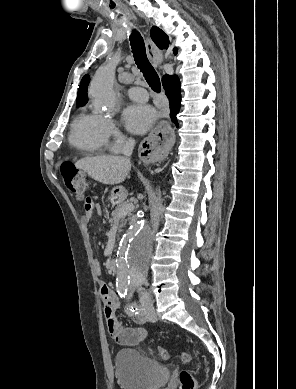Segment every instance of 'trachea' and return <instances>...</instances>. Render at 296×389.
<instances>
[{
    "mask_svg": "<svg viewBox=\"0 0 296 389\" xmlns=\"http://www.w3.org/2000/svg\"><path fill=\"white\" fill-rule=\"evenodd\" d=\"M130 45L136 65L151 89L159 93L161 91L159 76L147 58L144 40L138 31H133L130 35Z\"/></svg>",
    "mask_w": 296,
    "mask_h": 389,
    "instance_id": "trachea-1",
    "label": "trachea"
}]
</instances>
